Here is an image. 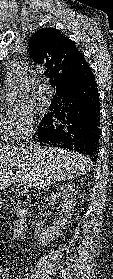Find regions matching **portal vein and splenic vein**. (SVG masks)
<instances>
[{"label": "portal vein and splenic vein", "mask_w": 113, "mask_h": 279, "mask_svg": "<svg viewBox=\"0 0 113 279\" xmlns=\"http://www.w3.org/2000/svg\"><path fill=\"white\" fill-rule=\"evenodd\" d=\"M28 185H25V184H23V185H21V186H18V188H21V189H24V190H26V189H28Z\"/></svg>", "instance_id": "1"}]
</instances>
